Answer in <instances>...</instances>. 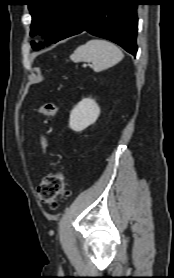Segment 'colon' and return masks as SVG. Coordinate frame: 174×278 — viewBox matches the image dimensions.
Wrapping results in <instances>:
<instances>
[{
	"mask_svg": "<svg viewBox=\"0 0 174 278\" xmlns=\"http://www.w3.org/2000/svg\"><path fill=\"white\" fill-rule=\"evenodd\" d=\"M58 106L53 102L42 104L38 112L46 117H52L57 113ZM40 200L50 208L55 209L61 199L69 196L66 178L60 171L48 174L37 187Z\"/></svg>",
	"mask_w": 174,
	"mask_h": 278,
	"instance_id": "5ec220e1",
	"label": "colon"
}]
</instances>
